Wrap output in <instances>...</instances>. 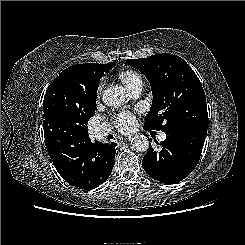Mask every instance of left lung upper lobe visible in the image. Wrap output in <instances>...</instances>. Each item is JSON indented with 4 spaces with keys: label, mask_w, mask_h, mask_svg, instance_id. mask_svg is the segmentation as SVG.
I'll use <instances>...</instances> for the list:
<instances>
[{
    "label": "left lung upper lobe",
    "mask_w": 245,
    "mask_h": 245,
    "mask_svg": "<svg viewBox=\"0 0 245 245\" xmlns=\"http://www.w3.org/2000/svg\"><path fill=\"white\" fill-rule=\"evenodd\" d=\"M126 61L150 82L153 102L145 118L146 128L161 130L166 135L194 128L208 129L205 94L186 61L171 53Z\"/></svg>",
    "instance_id": "1"
}]
</instances>
